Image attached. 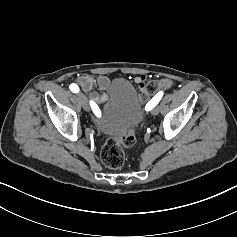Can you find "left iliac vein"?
I'll list each match as a JSON object with an SVG mask.
<instances>
[{"mask_svg": "<svg viewBox=\"0 0 237 237\" xmlns=\"http://www.w3.org/2000/svg\"><path fill=\"white\" fill-rule=\"evenodd\" d=\"M159 111H160V108L157 106L152 110V114L157 115V114H159Z\"/></svg>", "mask_w": 237, "mask_h": 237, "instance_id": "1", "label": "left iliac vein"}]
</instances>
